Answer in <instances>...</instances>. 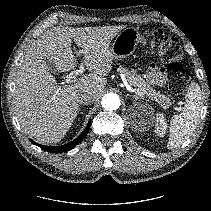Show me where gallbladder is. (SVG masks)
Returning a JSON list of instances; mask_svg holds the SVG:
<instances>
[{
  "label": "gallbladder",
  "instance_id": "gallbladder-1",
  "mask_svg": "<svg viewBox=\"0 0 211 211\" xmlns=\"http://www.w3.org/2000/svg\"><path fill=\"white\" fill-rule=\"evenodd\" d=\"M46 65H47V69L48 71H50L51 73L55 74L57 72L55 65L53 64L52 61H50L49 59L46 60Z\"/></svg>",
  "mask_w": 211,
  "mask_h": 211
}]
</instances>
